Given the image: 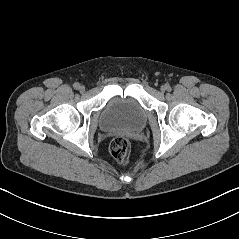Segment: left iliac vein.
Returning <instances> with one entry per match:
<instances>
[{"label":"left iliac vein","mask_w":239,"mask_h":239,"mask_svg":"<svg viewBox=\"0 0 239 239\" xmlns=\"http://www.w3.org/2000/svg\"><path fill=\"white\" fill-rule=\"evenodd\" d=\"M165 90H166V86H162L161 87V92H165Z\"/></svg>","instance_id":"obj_1"}]
</instances>
